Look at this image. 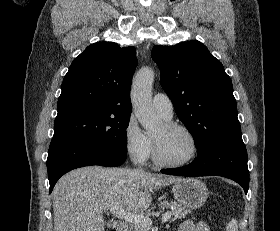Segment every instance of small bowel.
Segmentation results:
<instances>
[{
  "label": "small bowel",
  "mask_w": 280,
  "mask_h": 231,
  "mask_svg": "<svg viewBox=\"0 0 280 231\" xmlns=\"http://www.w3.org/2000/svg\"><path fill=\"white\" fill-rule=\"evenodd\" d=\"M179 231H209V227L203 221L195 223L192 220H185L180 225Z\"/></svg>",
  "instance_id": "small-bowel-1"
}]
</instances>
